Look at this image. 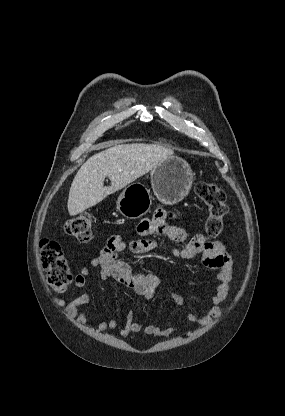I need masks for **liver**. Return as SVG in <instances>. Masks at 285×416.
Returning <instances> with one entry per match:
<instances>
[{
    "instance_id": "obj_1",
    "label": "liver",
    "mask_w": 285,
    "mask_h": 416,
    "mask_svg": "<svg viewBox=\"0 0 285 416\" xmlns=\"http://www.w3.org/2000/svg\"><path fill=\"white\" fill-rule=\"evenodd\" d=\"M103 150L91 156L78 170L70 188L67 208L70 216H77L102 202L106 196L119 192L137 178L145 176L159 162L173 156V150L153 144H114L103 142L94 146ZM109 178L111 186H103Z\"/></svg>"
}]
</instances>
